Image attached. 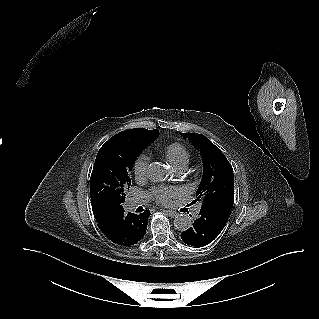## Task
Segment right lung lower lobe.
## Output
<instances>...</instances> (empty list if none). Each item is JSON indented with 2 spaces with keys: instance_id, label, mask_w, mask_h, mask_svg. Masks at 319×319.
<instances>
[{
  "instance_id": "98d812e1",
  "label": "right lung lower lobe",
  "mask_w": 319,
  "mask_h": 319,
  "mask_svg": "<svg viewBox=\"0 0 319 319\" xmlns=\"http://www.w3.org/2000/svg\"><path fill=\"white\" fill-rule=\"evenodd\" d=\"M99 229L114 243L129 247L136 244L146 233L149 210L139 215L126 213L122 205L93 211Z\"/></svg>"
}]
</instances>
